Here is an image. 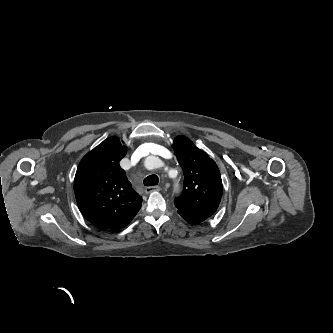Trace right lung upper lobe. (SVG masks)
<instances>
[{"label":"right lung upper lobe","instance_id":"obj_1","mask_svg":"<svg viewBox=\"0 0 333 333\" xmlns=\"http://www.w3.org/2000/svg\"><path fill=\"white\" fill-rule=\"evenodd\" d=\"M126 153L127 148L113 136L87 153L77 168L74 192L78 208L99 229L120 230L141 208L142 197L119 165Z\"/></svg>","mask_w":333,"mask_h":333}]
</instances>
